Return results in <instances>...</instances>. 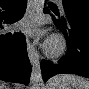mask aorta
<instances>
[{
    "label": "aorta",
    "instance_id": "aorta-1",
    "mask_svg": "<svg viewBox=\"0 0 89 89\" xmlns=\"http://www.w3.org/2000/svg\"><path fill=\"white\" fill-rule=\"evenodd\" d=\"M38 6H39V12L40 15L42 13L44 0H38ZM43 80H42V74H41V67H40V61H39V54L37 51L33 52V68L30 78V89H42L43 88Z\"/></svg>",
    "mask_w": 89,
    "mask_h": 89
}]
</instances>
